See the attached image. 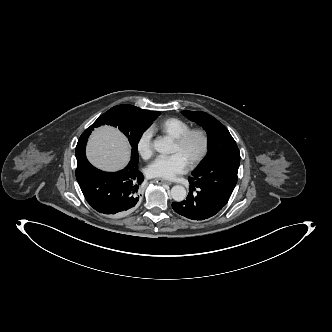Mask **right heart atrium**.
I'll list each match as a JSON object with an SVG mask.
<instances>
[{
  "instance_id": "d8ad5b80",
  "label": "right heart atrium",
  "mask_w": 332,
  "mask_h": 332,
  "mask_svg": "<svg viewBox=\"0 0 332 332\" xmlns=\"http://www.w3.org/2000/svg\"><path fill=\"white\" fill-rule=\"evenodd\" d=\"M137 151L143 159H149L153 154L152 130H144L137 140Z\"/></svg>"
}]
</instances>
